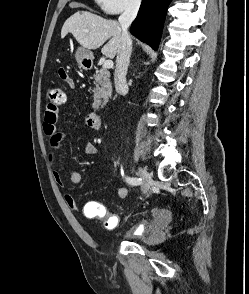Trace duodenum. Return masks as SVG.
Returning <instances> with one entry per match:
<instances>
[{"label": "duodenum", "mask_w": 249, "mask_h": 294, "mask_svg": "<svg viewBox=\"0 0 249 294\" xmlns=\"http://www.w3.org/2000/svg\"><path fill=\"white\" fill-rule=\"evenodd\" d=\"M90 121L93 123V127L95 129H100L101 127V117L97 113H90L89 114Z\"/></svg>", "instance_id": "1"}]
</instances>
